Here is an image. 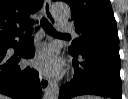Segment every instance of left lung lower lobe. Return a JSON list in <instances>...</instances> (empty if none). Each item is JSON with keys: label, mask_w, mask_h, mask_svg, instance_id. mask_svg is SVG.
I'll return each mask as SVG.
<instances>
[{"label": "left lung lower lobe", "mask_w": 128, "mask_h": 99, "mask_svg": "<svg viewBox=\"0 0 128 99\" xmlns=\"http://www.w3.org/2000/svg\"><path fill=\"white\" fill-rule=\"evenodd\" d=\"M72 61L75 76L60 89L59 99L92 94L122 99L119 44L95 40L75 53ZM78 57L83 61H78Z\"/></svg>", "instance_id": "1"}]
</instances>
